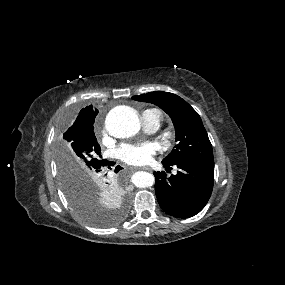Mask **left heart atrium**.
Masks as SVG:
<instances>
[{"mask_svg":"<svg viewBox=\"0 0 285 285\" xmlns=\"http://www.w3.org/2000/svg\"><path fill=\"white\" fill-rule=\"evenodd\" d=\"M157 148L151 142L129 144L124 143L116 151L117 157L123 162L142 166L148 164L155 155Z\"/></svg>","mask_w":285,"mask_h":285,"instance_id":"obj_1","label":"left heart atrium"}]
</instances>
